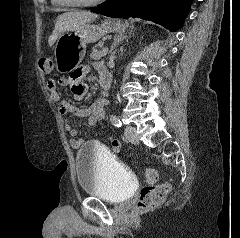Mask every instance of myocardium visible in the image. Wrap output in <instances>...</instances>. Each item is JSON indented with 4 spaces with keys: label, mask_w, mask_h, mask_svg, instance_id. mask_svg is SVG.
<instances>
[{
    "label": "myocardium",
    "mask_w": 240,
    "mask_h": 238,
    "mask_svg": "<svg viewBox=\"0 0 240 238\" xmlns=\"http://www.w3.org/2000/svg\"><path fill=\"white\" fill-rule=\"evenodd\" d=\"M105 1L106 0H93V1H90V2H86V3H79V2L64 0V3L66 5L75 6V7H92V6L99 5V4H101Z\"/></svg>",
    "instance_id": "myocardium-1"
}]
</instances>
